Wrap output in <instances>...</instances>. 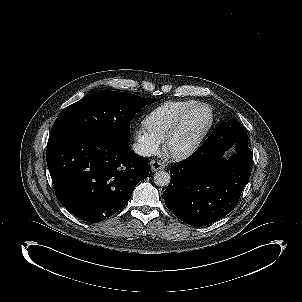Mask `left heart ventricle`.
Masks as SVG:
<instances>
[{"label": "left heart ventricle", "instance_id": "1", "mask_svg": "<svg viewBox=\"0 0 302 302\" xmlns=\"http://www.w3.org/2000/svg\"><path fill=\"white\" fill-rule=\"evenodd\" d=\"M207 121V112L203 109L196 110L180 125L171 139L173 149H182L191 144L199 135Z\"/></svg>", "mask_w": 302, "mask_h": 302}]
</instances>
